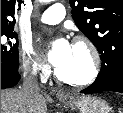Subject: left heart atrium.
Here are the masks:
<instances>
[{
	"label": "left heart atrium",
	"instance_id": "1",
	"mask_svg": "<svg viewBox=\"0 0 123 113\" xmlns=\"http://www.w3.org/2000/svg\"><path fill=\"white\" fill-rule=\"evenodd\" d=\"M71 53V44L65 38H59L52 43L49 61L56 67L64 64Z\"/></svg>",
	"mask_w": 123,
	"mask_h": 113
}]
</instances>
